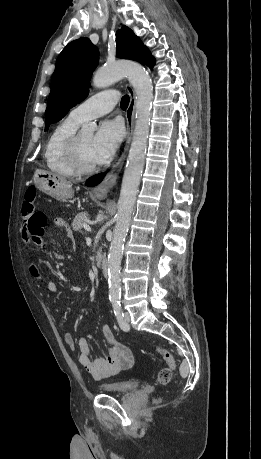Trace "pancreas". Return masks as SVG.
<instances>
[{
  "label": "pancreas",
  "mask_w": 261,
  "mask_h": 459,
  "mask_svg": "<svg viewBox=\"0 0 261 459\" xmlns=\"http://www.w3.org/2000/svg\"><path fill=\"white\" fill-rule=\"evenodd\" d=\"M89 219V215L87 212H81L77 214L72 222V228L75 231L81 230L83 223L87 222ZM100 253H98L99 258Z\"/></svg>",
  "instance_id": "cf45deb5"
}]
</instances>
